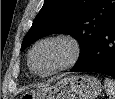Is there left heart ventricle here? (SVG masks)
<instances>
[{
	"mask_svg": "<svg viewBox=\"0 0 115 99\" xmlns=\"http://www.w3.org/2000/svg\"><path fill=\"white\" fill-rule=\"evenodd\" d=\"M70 56V48L63 42H48L39 46L33 54V65L45 73L64 64Z\"/></svg>",
	"mask_w": 115,
	"mask_h": 99,
	"instance_id": "b2bd125f",
	"label": "left heart ventricle"
}]
</instances>
